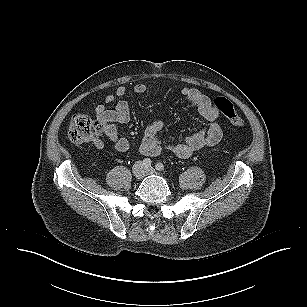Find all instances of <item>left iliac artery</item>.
Listing matches in <instances>:
<instances>
[{
    "mask_svg": "<svg viewBox=\"0 0 307 307\" xmlns=\"http://www.w3.org/2000/svg\"><path fill=\"white\" fill-rule=\"evenodd\" d=\"M155 168L159 171H162L164 170V165L161 163V162H158L156 165H155Z\"/></svg>",
    "mask_w": 307,
    "mask_h": 307,
    "instance_id": "obj_1",
    "label": "left iliac artery"
}]
</instances>
